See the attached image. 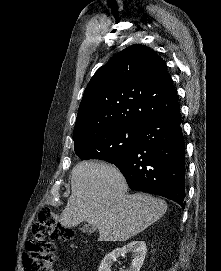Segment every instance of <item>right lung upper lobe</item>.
<instances>
[{"label": "right lung upper lobe", "instance_id": "1", "mask_svg": "<svg viewBox=\"0 0 221 271\" xmlns=\"http://www.w3.org/2000/svg\"><path fill=\"white\" fill-rule=\"evenodd\" d=\"M178 109L165 62L151 48L135 44L115 55L90 80L73 139L118 125L143 127Z\"/></svg>", "mask_w": 221, "mask_h": 271}]
</instances>
